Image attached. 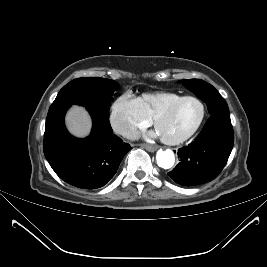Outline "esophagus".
Wrapping results in <instances>:
<instances>
[{
    "mask_svg": "<svg viewBox=\"0 0 267 267\" xmlns=\"http://www.w3.org/2000/svg\"><path fill=\"white\" fill-rule=\"evenodd\" d=\"M141 146L150 152H154L158 149L156 145L142 144Z\"/></svg>",
    "mask_w": 267,
    "mask_h": 267,
    "instance_id": "34e87169",
    "label": "esophagus"
}]
</instances>
